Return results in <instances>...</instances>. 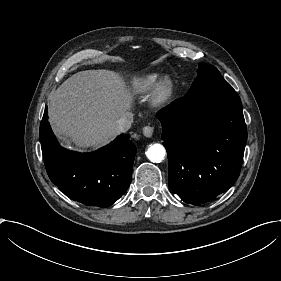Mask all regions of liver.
<instances>
[{
    "mask_svg": "<svg viewBox=\"0 0 281 281\" xmlns=\"http://www.w3.org/2000/svg\"><path fill=\"white\" fill-rule=\"evenodd\" d=\"M49 99V122L56 136L85 149L103 146L119 134L115 122L130 110L133 96L119 73L99 69L73 74Z\"/></svg>",
    "mask_w": 281,
    "mask_h": 281,
    "instance_id": "1",
    "label": "liver"
}]
</instances>
